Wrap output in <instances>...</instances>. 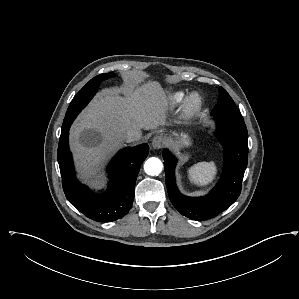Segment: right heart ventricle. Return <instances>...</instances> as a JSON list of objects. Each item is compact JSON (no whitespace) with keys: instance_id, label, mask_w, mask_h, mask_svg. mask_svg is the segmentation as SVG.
<instances>
[{"instance_id":"e07e8e85","label":"right heart ventricle","mask_w":299,"mask_h":299,"mask_svg":"<svg viewBox=\"0 0 299 299\" xmlns=\"http://www.w3.org/2000/svg\"><path fill=\"white\" fill-rule=\"evenodd\" d=\"M183 97H184V94L182 92H178L173 95V100L178 102V101H181L183 99Z\"/></svg>"}]
</instances>
